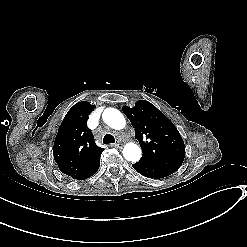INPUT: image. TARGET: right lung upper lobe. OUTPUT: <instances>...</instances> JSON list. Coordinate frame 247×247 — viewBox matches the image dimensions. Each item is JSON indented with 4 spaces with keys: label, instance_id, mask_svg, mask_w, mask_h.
Wrapping results in <instances>:
<instances>
[{
    "label": "right lung upper lobe",
    "instance_id": "obj_1",
    "mask_svg": "<svg viewBox=\"0 0 247 247\" xmlns=\"http://www.w3.org/2000/svg\"><path fill=\"white\" fill-rule=\"evenodd\" d=\"M95 108L88 102L75 104L65 115L53 146L60 171L74 179L85 178L100 162L104 148L94 142L86 122Z\"/></svg>",
    "mask_w": 247,
    "mask_h": 247
}]
</instances>
